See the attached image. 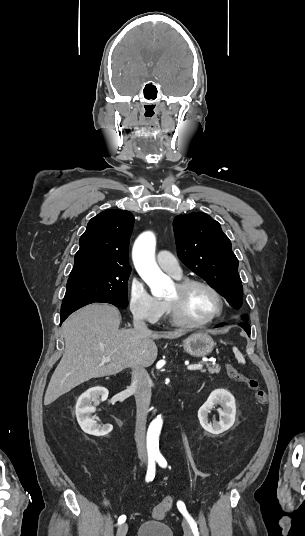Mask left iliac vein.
Here are the masks:
<instances>
[{"label":"left iliac vein","mask_w":305,"mask_h":536,"mask_svg":"<svg viewBox=\"0 0 305 536\" xmlns=\"http://www.w3.org/2000/svg\"><path fill=\"white\" fill-rule=\"evenodd\" d=\"M182 526L184 529L185 536H193L191 526L186 519L183 520Z\"/></svg>","instance_id":"obj_1"}]
</instances>
